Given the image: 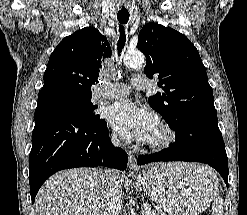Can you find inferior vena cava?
<instances>
[{"label":"inferior vena cava","mask_w":247,"mask_h":215,"mask_svg":"<svg viewBox=\"0 0 247 215\" xmlns=\"http://www.w3.org/2000/svg\"><path fill=\"white\" fill-rule=\"evenodd\" d=\"M114 145L120 146V142L113 141ZM101 179L110 188V194L106 199V212L105 215H119L122 207L121 194L119 192L120 179L117 173L112 169L103 171Z\"/></svg>","instance_id":"inferior-vena-cava-1"}]
</instances>
